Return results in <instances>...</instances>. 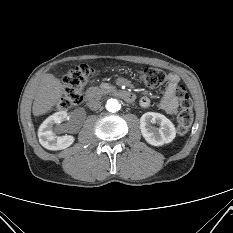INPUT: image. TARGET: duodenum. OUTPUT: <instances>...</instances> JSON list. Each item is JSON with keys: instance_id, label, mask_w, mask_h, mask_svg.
Instances as JSON below:
<instances>
[{"instance_id": "duodenum-1", "label": "duodenum", "mask_w": 233, "mask_h": 233, "mask_svg": "<svg viewBox=\"0 0 233 233\" xmlns=\"http://www.w3.org/2000/svg\"><path fill=\"white\" fill-rule=\"evenodd\" d=\"M111 94L123 99L124 101H126L128 103H132L135 100L134 94H132L131 92H128V91L116 89V90L111 91ZM99 95H100L99 90L88 89L85 93V99L88 101H92V100L96 99Z\"/></svg>"}]
</instances>
